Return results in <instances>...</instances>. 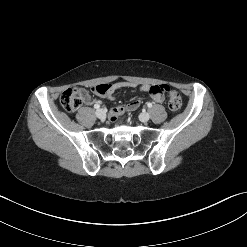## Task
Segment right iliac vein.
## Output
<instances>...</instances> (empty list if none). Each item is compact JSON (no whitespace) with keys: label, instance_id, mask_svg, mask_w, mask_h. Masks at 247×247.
<instances>
[{"label":"right iliac vein","instance_id":"63e3f726","mask_svg":"<svg viewBox=\"0 0 247 247\" xmlns=\"http://www.w3.org/2000/svg\"><path fill=\"white\" fill-rule=\"evenodd\" d=\"M96 116L99 118V119H104L106 114H105V111L102 110V109H98L96 112H95Z\"/></svg>","mask_w":247,"mask_h":247}]
</instances>
